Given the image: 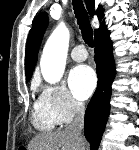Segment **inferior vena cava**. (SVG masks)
<instances>
[{
  "label": "inferior vena cava",
  "instance_id": "obj_1",
  "mask_svg": "<svg viewBox=\"0 0 139 150\" xmlns=\"http://www.w3.org/2000/svg\"><path fill=\"white\" fill-rule=\"evenodd\" d=\"M84 114L85 106L81 102H75V118L74 121L68 126L67 130L81 143V132L84 128ZM82 145V143H81ZM84 149V148H80Z\"/></svg>",
  "mask_w": 139,
  "mask_h": 150
}]
</instances>
